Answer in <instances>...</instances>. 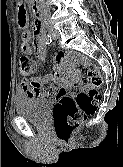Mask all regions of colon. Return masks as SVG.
I'll use <instances>...</instances> for the list:
<instances>
[{
  "mask_svg": "<svg viewBox=\"0 0 123 167\" xmlns=\"http://www.w3.org/2000/svg\"><path fill=\"white\" fill-rule=\"evenodd\" d=\"M35 70L33 60L28 56L19 59V73L29 76ZM83 79L89 84L90 89L77 92L73 97L63 95L54 107L53 123L56 136L61 141H67L76 129L92 115L100 102L99 89L103 86V77L93 62L81 66Z\"/></svg>",
  "mask_w": 123,
  "mask_h": 167,
  "instance_id": "5ec220e1",
  "label": "colon"
}]
</instances>
